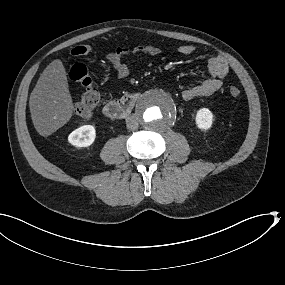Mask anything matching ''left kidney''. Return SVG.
<instances>
[{
  "label": "left kidney",
  "instance_id": "5707ae66",
  "mask_svg": "<svg viewBox=\"0 0 285 285\" xmlns=\"http://www.w3.org/2000/svg\"><path fill=\"white\" fill-rule=\"evenodd\" d=\"M195 125L200 131H208L213 127V113L209 108L202 107L196 111Z\"/></svg>",
  "mask_w": 285,
  "mask_h": 285
}]
</instances>
